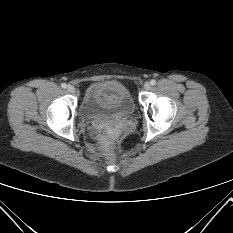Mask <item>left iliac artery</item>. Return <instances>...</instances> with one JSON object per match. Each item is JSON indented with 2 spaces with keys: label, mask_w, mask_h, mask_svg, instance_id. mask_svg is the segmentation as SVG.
Listing matches in <instances>:
<instances>
[{
  "label": "left iliac artery",
  "mask_w": 233,
  "mask_h": 233,
  "mask_svg": "<svg viewBox=\"0 0 233 233\" xmlns=\"http://www.w3.org/2000/svg\"><path fill=\"white\" fill-rule=\"evenodd\" d=\"M150 84H151V85H155V84H156V81H155V80H151V81H150Z\"/></svg>",
  "instance_id": "1"
}]
</instances>
